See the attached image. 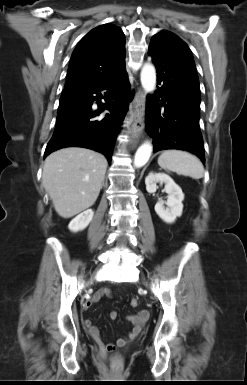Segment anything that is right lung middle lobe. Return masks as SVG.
Returning <instances> with one entry per match:
<instances>
[{
  "label": "right lung middle lobe",
  "instance_id": "1",
  "mask_svg": "<svg viewBox=\"0 0 247 385\" xmlns=\"http://www.w3.org/2000/svg\"><path fill=\"white\" fill-rule=\"evenodd\" d=\"M82 93V91H67L62 92V95L60 97V104H63L77 96H79Z\"/></svg>",
  "mask_w": 247,
  "mask_h": 385
}]
</instances>
